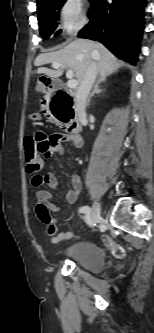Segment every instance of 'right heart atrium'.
<instances>
[{"label": "right heart atrium", "instance_id": "right-heart-atrium-1", "mask_svg": "<svg viewBox=\"0 0 154 333\" xmlns=\"http://www.w3.org/2000/svg\"><path fill=\"white\" fill-rule=\"evenodd\" d=\"M86 16L82 0H63L58 10L59 29L66 35H75L86 27Z\"/></svg>", "mask_w": 154, "mask_h": 333}]
</instances>
